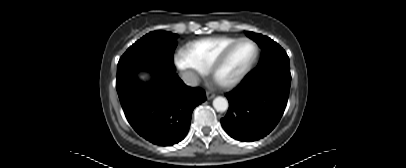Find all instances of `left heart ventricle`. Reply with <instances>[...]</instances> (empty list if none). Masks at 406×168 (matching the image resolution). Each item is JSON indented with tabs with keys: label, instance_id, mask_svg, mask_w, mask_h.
<instances>
[{
	"label": "left heart ventricle",
	"instance_id": "obj_1",
	"mask_svg": "<svg viewBox=\"0 0 406 168\" xmlns=\"http://www.w3.org/2000/svg\"><path fill=\"white\" fill-rule=\"evenodd\" d=\"M254 53L255 47L252 43L242 42L238 44L220 69L218 79L227 81L235 77L249 63Z\"/></svg>",
	"mask_w": 406,
	"mask_h": 168
}]
</instances>
